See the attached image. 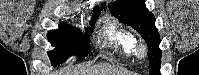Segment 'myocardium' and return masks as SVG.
<instances>
[{"label": "myocardium", "mask_w": 199, "mask_h": 75, "mask_svg": "<svg viewBox=\"0 0 199 75\" xmlns=\"http://www.w3.org/2000/svg\"><path fill=\"white\" fill-rule=\"evenodd\" d=\"M147 53H148V50H147L146 44L143 42H139L136 45V54H137L138 58H140V59L146 58Z\"/></svg>", "instance_id": "f54148a6"}]
</instances>
